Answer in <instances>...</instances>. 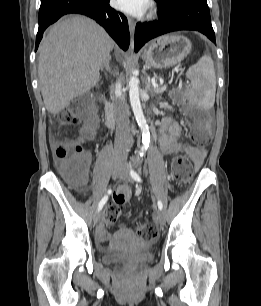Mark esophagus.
Here are the masks:
<instances>
[{
  "mask_svg": "<svg viewBox=\"0 0 261 306\" xmlns=\"http://www.w3.org/2000/svg\"><path fill=\"white\" fill-rule=\"evenodd\" d=\"M128 25H129V31H130L131 39L133 43V37H134V32H135V21L131 17L128 18Z\"/></svg>",
  "mask_w": 261,
  "mask_h": 306,
  "instance_id": "obj_1",
  "label": "esophagus"
}]
</instances>
